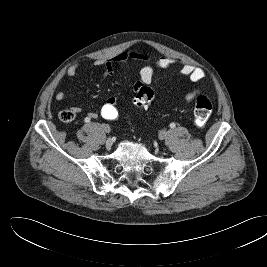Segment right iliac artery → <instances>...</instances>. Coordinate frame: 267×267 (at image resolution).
<instances>
[{
	"instance_id": "82829eb1",
	"label": "right iliac artery",
	"mask_w": 267,
	"mask_h": 267,
	"mask_svg": "<svg viewBox=\"0 0 267 267\" xmlns=\"http://www.w3.org/2000/svg\"><path fill=\"white\" fill-rule=\"evenodd\" d=\"M85 121H86V122H89L90 119H89L88 117H86V118H85ZM108 132H110V128H109V131H108Z\"/></svg>"
}]
</instances>
